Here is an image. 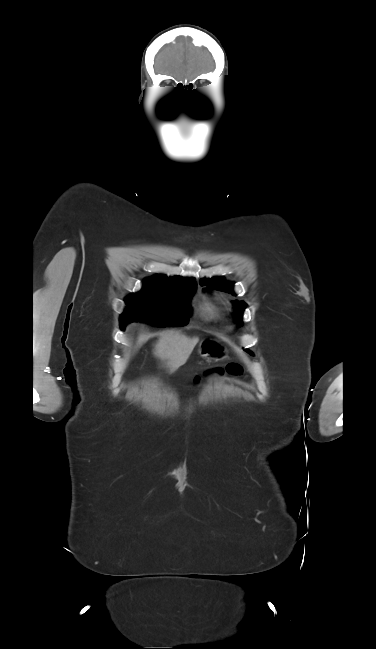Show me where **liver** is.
Segmentation results:
<instances>
[{"label": "liver", "instance_id": "liver-1", "mask_svg": "<svg viewBox=\"0 0 376 649\" xmlns=\"http://www.w3.org/2000/svg\"><path fill=\"white\" fill-rule=\"evenodd\" d=\"M198 342V337L189 338L178 332L166 331L161 333L153 352L173 373L186 363Z\"/></svg>", "mask_w": 376, "mask_h": 649}]
</instances>
